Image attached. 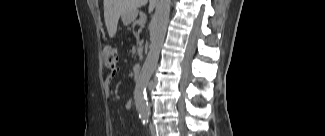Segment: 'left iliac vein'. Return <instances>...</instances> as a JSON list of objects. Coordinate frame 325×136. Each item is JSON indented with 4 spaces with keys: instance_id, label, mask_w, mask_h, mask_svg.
<instances>
[{
    "instance_id": "obj_1",
    "label": "left iliac vein",
    "mask_w": 325,
    "mask_h": 136,
    "mask_svg": "<svg viewBox=\"0 0 325 136\" xmlns=\"http://www.w3.org/2000/svg\"><path fill=\"white\" fill-rule=\"evenodd\" d=\"M150 131H151V134L154 136L156 131H155V126L152 123L150 124Z\"/></svg>"
}]
</instances>
